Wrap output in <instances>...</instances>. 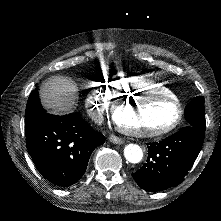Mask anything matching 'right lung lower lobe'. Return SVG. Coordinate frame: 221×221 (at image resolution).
<instances>
[{
    "mask_svg": "<svg viewBox=\"0 0 221 221\" xmlns=\"http://www.w3.org/2000/svg\"><path fill=\"white\" fill-rule=\"evenodd\" d=\"M25 132L35 166L60 187L73 185L83 176L93 150L105 141L78 114L56 116L45 110L26 116Z\"/></svg>",
    "mask_w": 221,
    "mask_h": 221,
    "instance_id": "obj_1",
    "label": "right lung lower lobe"
}]
</instances>
